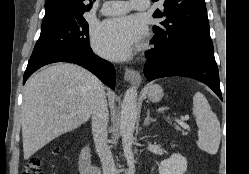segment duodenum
<instances>
[{"label":"duodenum","mask_w":249,"mask_h":174,"mask_svg":"<svg viewBox=\"0 0 249 174\" xmlns=\"http://www.w3.org/2000/svg\"><path fill=\"white\" fill-rule=\"evenodd\" d=\"M79 171L81 174H101V168L92 163L91 151L87 144H84L79 157Z\"/></svg>","instance_id":"obj_1"}]
</instances>
